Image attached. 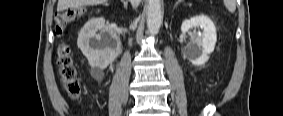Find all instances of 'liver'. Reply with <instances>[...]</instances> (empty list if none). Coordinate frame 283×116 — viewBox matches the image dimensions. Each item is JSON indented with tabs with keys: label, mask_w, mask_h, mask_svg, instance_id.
<instances>
[{
	"label": "liver",
	"mask_w": 283,
	"mask_h": 116,
	"mask_svg": "<svg viewBox=\"0 0 283 116\" xmlns=\"http://www.w3.org/2000/svg\"><path fill=\"white\" fill-rule=\"evenodd\" d=\"M106 0H58L57 11L61 12L68 8L78 7L81 5H93L105 2Z\"/></svg>",
	"instance_id": "6515ba94"
}]
</instances>
